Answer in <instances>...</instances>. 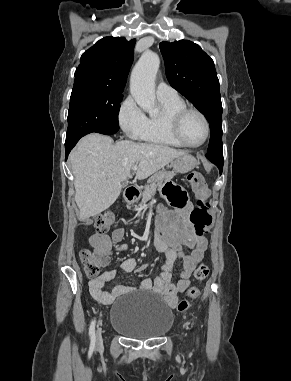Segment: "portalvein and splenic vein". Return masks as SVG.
Instances as JSON below:
<instances>
[{
    "instance_id": "18ae733b",
    "label": "portal vein and splenic vein",
    "mask_w": 291,
    "mask_h": 381,
    "mask_svg": "<svg viewBox=\"0 0 291 381\" xmlns=\"http://www.w3.org/2000/svg\"><path fill=\"white\" fill-rule=\"evenodd\" d=\"M137 169H138L137 165H134L133 168H132L133 171H137Z\"/></svg>"
}]
</instances>
